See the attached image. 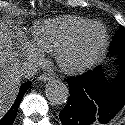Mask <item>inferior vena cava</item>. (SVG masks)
<instances>
[{
    "label": "inferior vena cava",
    "instance_id": "602c4592",
    "mask_svg": "<svg viewBox=\"0 0 125 125\" xmlns=\"http://www.w3.org/2000/svg\"><path fill=\"white\" fill-rule=\"evenodd\" d=\"M37 72V65L33 63H29L27 65H23L20 68V76H23L25 78H31L33 77Z\"/></svg>",
    "mask_w": 125,
    "mask_h": 125
}]
</instances>
